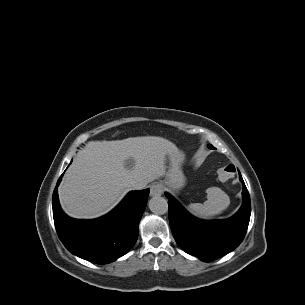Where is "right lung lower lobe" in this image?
I'll return each mask as SVG.
<instances>
[{
  "mask_svg": "<svg viewBox=\"0 0 305 305\" xmlns=\"http://www.w3.org/2000/svg\"><path fill=\"white\" fill-rule=\"evenodd\" d=\"M53 192V218L57 234L74 255L96 264L110 263L126 254L138 237V226L147 204L149 189L132 191L109 214L95 220L68 217Z\"/></svg>",
  "mask_w": 305,
  "mask_h": 305,
  "instance_id": "98d812e1",
  "label": "right lung lower lobe"
}]
</instances>
